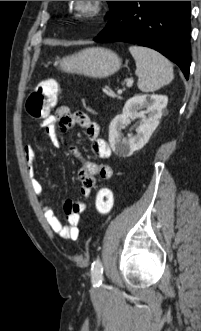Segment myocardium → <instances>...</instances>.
<instances>
[{
  "label": "myocardium",
  "mask_w": 201,
  "mask_h": 331,
  "mask_svg": "<svg viewBox=\"0 0 201 331\" xmlns=\"http://www.w3.org/2000/svg\"><path fill=\"white\" fill-rule=\"evenodd\" d=\"M74 7L83 17H94L102 11L103 1H75Z\"/></svg>",
  "instance_id": "myocardium-1"
}]
</instances>
